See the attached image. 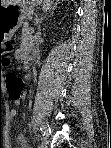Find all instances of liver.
Segmentation results:
<instances>
[{"label":"liver","instance_id":"obj_1","mask_svg":"<svg viewBox=\"0 0 111 148\" xmlns=\"http://www.w3.org/2000/svg\"><path fill=\"white\" fill-rule=\"evenodd\" d=\"M22 1L21 0H2V5H18L20 4Z\"/></svg>","mask_w":111,"mask_h":148}]
</instances>
